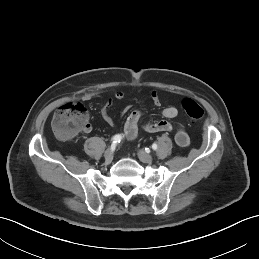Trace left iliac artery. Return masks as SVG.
Listing matches in <instances>:
<instances>
[{"label": "left iliac artery", "instance_id": "left-iliac-artery-1", "mask_svg": "<svg viewBox=\"0 0 259 259\" xmlns=\"http://www.w3.org/2000/svg\"><path fill=\"white\" fill-rule=\"evenodd\" d=\"M152 149H153V150H156V149H157V144L154 143V144L152 145Z\"/></svg>", "mask_w": 259, "mask_h": 259}]
</instances>
